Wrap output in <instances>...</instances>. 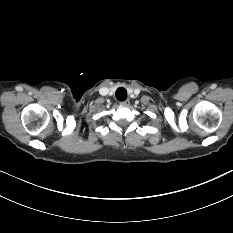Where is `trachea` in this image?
Masks as SVG:
<instances>
[{
    "label": "trachea",
    "mask_w": 233,
    "mask_h": 233,
    "mask_svg": "<svg viewBox=\"0 0 233 233\" xmlns=\"http://www.w3.org/2000/svg\"><path fill=\"white\" fill-rule=\"evenodd\" d=\"M115 96L117 100L124 101L127 98V91L125 88L121 87L116 90Z\"/></svg>",
    "instance_id": "1"
}]
</instances>
